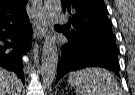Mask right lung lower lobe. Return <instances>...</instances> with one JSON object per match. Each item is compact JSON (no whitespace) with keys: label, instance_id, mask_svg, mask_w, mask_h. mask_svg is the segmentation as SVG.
<instances>
[{"label":"right lung lower lobe","instance_id":"98d812e1","mask_svg":"<svg viewBox=\"0 0 135 95\" xmlns=\"http://www.w3.org/2000/svg\"><path fill=\"white\" fill-rule=\"evenodd\" d=\"M32 27L28 16L0 24V66L13 71L24 83L22 56L31 44Z\"/></svg>","mask_w":135,"mask_h":95}]
</instances>
